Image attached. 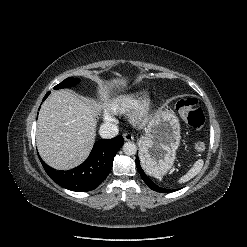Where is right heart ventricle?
<instances>
[{
    "label": "right heart ventricle",
    "instance_id": "1",
    "mask_svg": "<svg viewBox=\"0 0 247 247\" xmlns=\"http://www.w3.org/2000/svg\"><path fill=\"white\" fill-rule=\"evenodd\" d=\"M144 91H133L120 94L107 103V109L114 113L132 110L144 97Z\"/></svg>",
    "mask_w": 247,
    "mask_h": 247
}]
</instances>
